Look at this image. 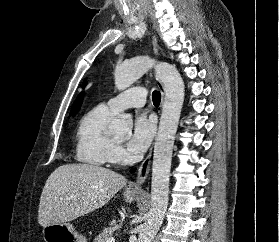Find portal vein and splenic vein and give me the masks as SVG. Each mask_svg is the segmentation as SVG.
Masks as SVG:
<instances>
[{
  "instance_id": "18ae733b",
  "label": "portal vein and splenic vein",
  "mask_w": 279,
  "mask_h": 242,
  "mask_svg": "<svg viewBox=\"0 0 279 242\" xmlns=\"http://www.w3.org/2000/svg\"><path fill=\"white\" fill-rule=\"evenodd\" d=\"M106 242H115V238L114 237H110L106 240Z\"/></svg>"
}]
</instances>
